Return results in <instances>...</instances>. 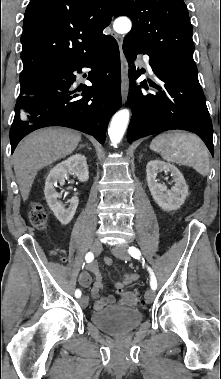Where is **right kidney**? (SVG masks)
Wrapping results in <instances>:
<instances>
[{"label": "right kidney", "instance_id": "1", "mask_svg": "<svg viewBox=\"0 0 221 379\" xmlns=\"http://www.w3.org/2000/svg\"><path fill=\"white\" fill-rule=\"evenodd\" d=\"M68 174L75 175L79 181L86 182L89 178L86 157L75 154L54 166L45 181L44 194L50 209L61 224L67 225L73 219L79 200L76 196L70 199L68 208H64L58 201L57 183L63 185Z\"/></svg>", "mask_w": 221, "mask_h": 379}]
</instances>
